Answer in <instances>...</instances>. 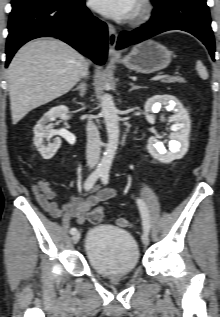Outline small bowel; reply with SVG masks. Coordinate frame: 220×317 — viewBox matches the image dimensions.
I'll list each match as a JSON object with an SVG mask.
<instances>
[{"label":"small bowel","instance_id":"c3829d8e","mask_svg":"<svg viewBox=\"0 0 220 317\" xmlns=\"http://www.w3.org/2000/svg\"><path fill=\"white\" fill-rule=\"evenodd\" d=\"M33 192L36 200L42 209L54 218H59L62 214H68L78 223L85 221L86 215L89 214L101 202L115 196L113 189H97L93 188L85 198L80 196H72L69 202L61 207L57 204L58 193L53 185L45 180H39L33 185Z\"/></svg>","mask_w":220,"mask_h":317}]
</instances>
